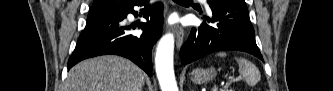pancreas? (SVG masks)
<instances>
[{
    "label": "pancreas",
    "instance_id": "obj_1",
    "mask_svg": "<svg viewBox=\"0 0 333 91\" xmlns=\"http://www.w3.org/2000/svg\"><path fill=\"white\" fill-rule=\"evenodd\" d=\"M222 91H231V90H228V89H224V90H222Z\"/></svg>",
    "mask_w": 333,
    "mask_h": 91
}]
</instances>
